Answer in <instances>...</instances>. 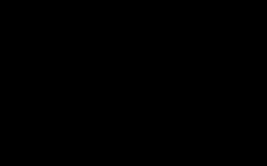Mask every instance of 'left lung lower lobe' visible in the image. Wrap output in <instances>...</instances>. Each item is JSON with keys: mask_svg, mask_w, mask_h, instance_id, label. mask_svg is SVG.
<instances>
[{"mask_svg": "<svg viewBox=\"0 0 267 166\" xmlns=\"http://www.w3.org/2000/svg\"><path fill=\"white\" fill-rule=\"evenodd\" d=\"M185 73V68H176L171 72V78L173 79V82L170 84L168 89L163 91L162 94L168 93V90L170 91L169 94L174 98V94L176 92L182 91L186 94V97L188 99V102H186V105L189 107V111L191 112H184L183 108L184 106L176 105V104H169L167 106V109L164 111V116L167 117L169 120V116L173 113L178 112L181 115H188L190 116L193 111L196 115H199L198 113H201L203 111V107H206V100L215 99L217 96L218 90H217V82H214V80H211V77H217V73H212L209 76V80L205 82V84L198 85V89H191V88H180L178 85V81L180 78L183 77ZM202 94H205V96H201ZM192 109V110H191ZM195 109V110H194ZM181 132V131H180ZM177 135V134H176Z\"/></svg>", "mask_w": 267, "mask_h": 166, "instance_id": "left-lung-lower-lobe-1", "label": "left lung lower lobe"}]
</instances>
